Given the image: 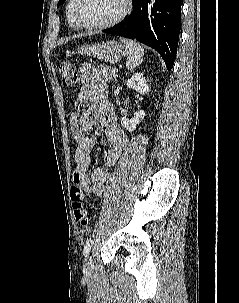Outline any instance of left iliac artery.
<instances>
[{
	"instance_id": "1",
	"label": "left iliac artery",
	"mask_w": 239,
	"mask_h": 303,
	"mask_svg": "<svg viewBox=\"0 0 239 303\" xmlns=\"http://www.w3.org/2000/svg\"><path fill=\"white\" fill-rule=\"evenodd\" d=\"M92 245H93L92 238H88L84 245V255H87L90 252Z\"/></svg>"
}]
</instances>
